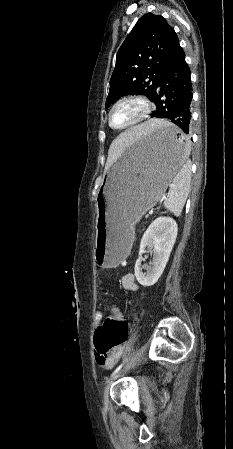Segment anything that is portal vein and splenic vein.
<instances>
[{
	"mask_svg": "<svg viewBox=\"0 0 233 449\" xmlns=\"http://www.w3.org/2000/svg\"><path fill=\"white\" fill-rule=\"evenodd\" d=\"M153 212H154L153 210H150V211H149V214H150V215H152V214H153Z\"/></svg>",
	"mask_w": 233,
	"mask_h": 449,
	"instance_id": "18ae733b",
	"label": "portal vein and splenic vein"
}]
</instances>
